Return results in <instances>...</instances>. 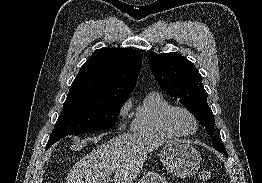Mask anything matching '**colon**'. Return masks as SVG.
Wrapping results in <instances>:
<instances>
[{"mask_svg":"<svg viewBox=\"0 0 262 183\" xmlns=\"http://www.w3.org/2000/svg\"><path fill=\"white\" fill-rule=\"evenodd\" d=\"M198 178L202 182H208L211 179V172L209 170H201L198 173Z\"/></svg>","mask_w":262,"mask_h":183,"instance_id":"5ec220e1","label":"colon"}]
</instances>
